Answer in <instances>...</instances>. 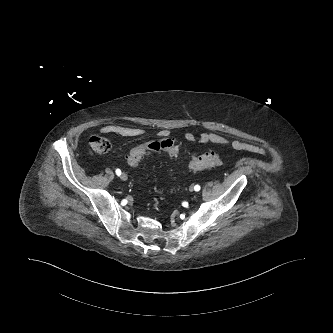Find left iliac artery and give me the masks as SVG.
Wrapping results in <instances>:
<instances>
[{"label":"left iliac artery","instance_id":"left-iliac-artery-1","mask_svg":"<svg viewBox=\"0 0 333 333\" xmlns=\"http://www.w3.org/2000/svg\"><path fill=\"white\" fill-rule=\"evenodd\" d=\"M200 189H201V187H200L199 185H195V186H194V190H195V191H199Z\"/></svg>","mask_w":333,"mask_h":333}]
</instances>
